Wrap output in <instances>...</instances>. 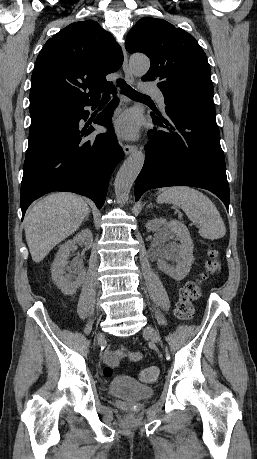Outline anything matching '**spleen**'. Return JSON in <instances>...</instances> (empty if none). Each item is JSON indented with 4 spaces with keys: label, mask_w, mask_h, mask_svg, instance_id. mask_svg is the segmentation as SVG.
Returning <instances> with one entry per match:
<instances>
[{
    "label": "spleen",
    "mask_w": 257,
    "mask_h": 459,
    "mask_svg": "<svg viewBox=\"0 0 257 459\" xmlns=\"http://www.w3.org/2000/svg\"><path fill=\"white\" fill-rule=\"evenodd\" d=\"M158 201L179 206L192 222L200 225L199 234L205 239L216 240L226 234L225 224L214 203L194 188H168L158 197Z\"/></svg>",
    "instance_id": "spleen-1"
}]
</instances>
